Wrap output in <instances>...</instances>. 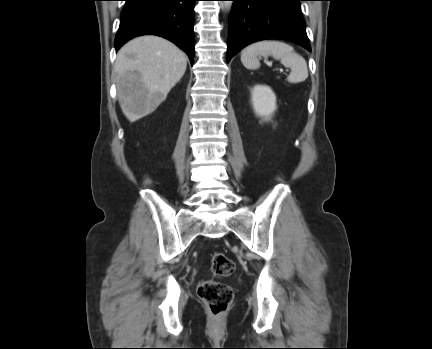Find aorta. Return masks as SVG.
<instances>
[{"label": "aorta", "mask_w": 432, "mask_h": 349, "mask_svg": "<svg viewBox=\"0 0 432 349\" xmlns=\"http://www.w3.org/2000/svg\"><path fill=\"white\" fill-rule=\"evenodd\" d=\"M222 3H223V6H224L226 9L231 8V6H232V4H233L232 1H223Z\"/></svg>", "instance_id": "aorta-1"}]
</instances>
